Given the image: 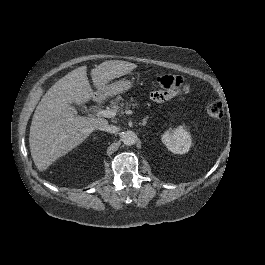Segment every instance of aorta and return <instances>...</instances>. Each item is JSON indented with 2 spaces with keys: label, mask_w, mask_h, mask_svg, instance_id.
I'll return each instance as SVG.
<instances>
[{
  "label": "aorta",
  "mask_w": 265,
  "mask_h": 265,
  "mask_svg": "<svg viewBox=\"0 0 265 265\" xmlns=\"http://www.w3.org/2000/svg\"><path fill=\"white\" fill-rule=\"evenodd\" d=\"M122 141L125 145L131 146L136 143L137 135L133 131H126L122 134Z\"/></svg>",
  "instance_id": "1"
}]
</instances>
